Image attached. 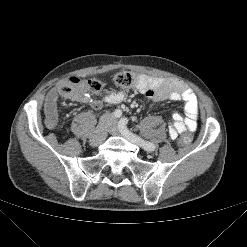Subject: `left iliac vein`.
<instances>
[{"instance_id": "1", "label": "left iliac vein", "mask_w": 247, "mask_h": 247, "mask_svg": "<svg viewBox=\"0 0 247 247\" xmlns=\"http://www.w3.org/2000/svg\"><path fill=\"white\" fill-rule=\"evenodd\" d=\"M108 131L109 133L113 134V135H119L121 132L119 131L118 127H117V124L115 121H113L109 127H108ZM121 135L127 139L128 141L132 142V143H135L138 145V142L137 140H135L134 138H132L129 134H125V133H121Z\"/></svg>"}]
</instances>
